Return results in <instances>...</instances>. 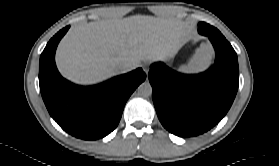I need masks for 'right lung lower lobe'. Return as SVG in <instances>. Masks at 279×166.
Here are the masks:
<instances>
[{
  "label": "right lung lower lobe",
  "instance_id": "1",
  "mask_svg": "<svg viewBox=\"0 0 279 166\" xmlns=\"http://www.w3.org/2000/svg\"><path fill=\"white\" fill-rule=\"evenodd\" d=\"M69 27L55 34L40 56V91L49 114L63 130L77 138L96 140L117 127L125 103L146 74L138 68L91 87L70 83L55 65L57 45Z\"/></svg>",
  "mask_w": 279,
  "mask_h": 166
}]
</instances>
